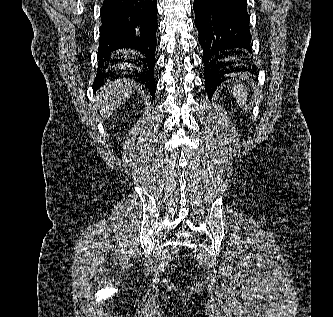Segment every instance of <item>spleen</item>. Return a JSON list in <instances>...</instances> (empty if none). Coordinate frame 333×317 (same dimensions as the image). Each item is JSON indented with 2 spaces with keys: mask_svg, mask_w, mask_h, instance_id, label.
<instances>
[{
  "mask_svg": "<svg viewBox=\"0 0 333 317\" xmlns=\"http://www.w3.org/2000/svg\"><path fill=\"white\" fill-rule=\"evenodd\" d=\"M233 97L236 99L237 103L240 106H243L247 99V91L244 88V85L237 84L232 88Z\"/></svg>",
  "mask_w": 333,
  "mask_h": 317,
  "instance_id": "spleen-1",
  "label": "spleen"
}]
</instances>
